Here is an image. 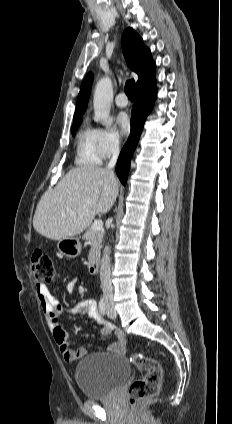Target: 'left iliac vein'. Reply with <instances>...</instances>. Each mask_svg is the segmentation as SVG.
<instances>
[{
  "instance_id": "left-iliac-vein-1",
  "label": "left iliac vein",
  "mask_w": 232,
  "mask_h": 424,
  "mask_svg": "<svg viewBox=\"0 0 232 424\" xmlns=\"http://www.w3.org/2000/svg\"><path fill=\"white\" fill-rule=\"evenodd\" d=\"M107 316L111 319L116 318V311L114 310L113 306L111 303H108V307H107Z\"/></svg>"
}]
</instances>
